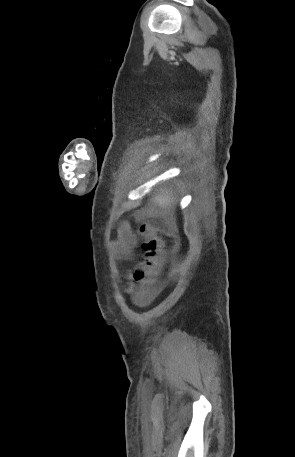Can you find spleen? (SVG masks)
<instances>
[{"label":"spleen","mask_w":295,"mask_h":457,"mask_svg":"<svg viewBox=\"0 0 295 457\" xmlns=\"http://www.w3.org/2000/svg\"><path fill=\"white\" fill-rule=\"evenodd\" d=\"M153 202L161 206L166 211L174 202V197L171 193L166 191L160 194H156V196L153 198Z\"/></svg>","instance_id":"obj_1"}]
</instances>
